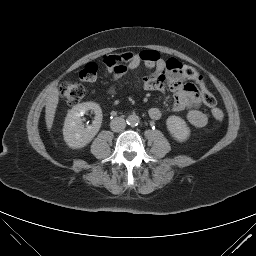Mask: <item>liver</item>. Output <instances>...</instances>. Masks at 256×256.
<instances>
[{"instance_id":"1","label":"liver","mask_w":256,"mask_h":256,"mask_svg":"<svg viewBox=\"0 0 256 256\" xmlns=\"http://www.w3.org/2000/svg\"><path fill=\"white\" fill-rule=\"evenodd\" d=\"M59 101V91L57 88L52 89L50 95L48 96L46 107H45V119L47 129L50 131L53 125L56 108Z\"/></svg>"}]
</instances>
